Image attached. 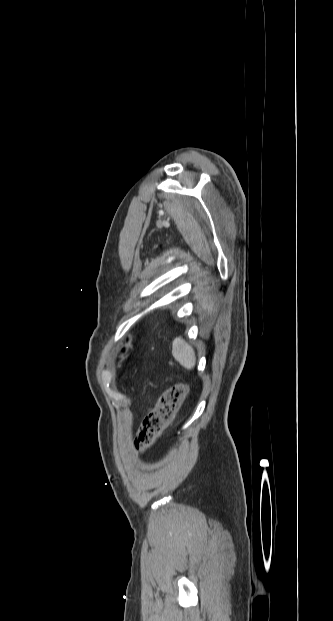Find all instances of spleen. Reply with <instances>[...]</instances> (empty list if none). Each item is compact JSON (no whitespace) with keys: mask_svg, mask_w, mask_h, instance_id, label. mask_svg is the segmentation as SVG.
Returning <instances> with one entry per match:
<instances>
[{"mask_svg":"<svg viewBox=\"0 0 333 621\" xmlns=\"http://www.w3.org/2000/svg\"><path fill=\"white\" fill-rule=\"evenodd\" d=\"M172 355L184 368L191 370L196 364V355L193 348L180 337L174 340Z\"/></svg>","mask_w":333,"mask_h":621,"instance_id":"1","label":"spleen"}]
</instances>
